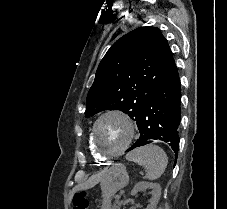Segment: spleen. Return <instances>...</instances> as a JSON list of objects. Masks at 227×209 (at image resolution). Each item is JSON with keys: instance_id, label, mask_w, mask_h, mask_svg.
<instances>
[{"instance_id": "obj_1", "label": "spleen", "mask_w": 227, "mask_h": 209, "mask_svg": "<svg viewBox=\"0 0 227 209\" xmlns=\"http://www.w3.org/2000/svg\"><path fill=\"white\" fill-rule=\"evenodd\" d=\"M127 161H133L146 169V177L149 181H155L163 175L167 165L168 157L161 147L157 145H145L137 147L126 155Z\"/></svg>"}]
</instances>
